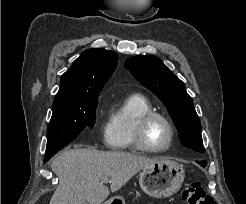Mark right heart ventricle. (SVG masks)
I'll list each match as a JSON object with an SVG mask.
<instances>
[{
	"mask_svg": "<svg viewBox=\"0 0 246 204\" xmlns=\"http://www.w3.org/2000/svg\"><path fill=\"white\" fill-rule=\"evenodd\" d=\"M150 100L141 94H132L113 106L109 112L104 140L113 150H136L134 131L138 119L152 111Z\"/></svg>",
	"mask_w": 246,
	"mask_h": 204,
	"instance_id": "e07e8e85",
	"label": "right heart ventricle"
}]
</instances>
